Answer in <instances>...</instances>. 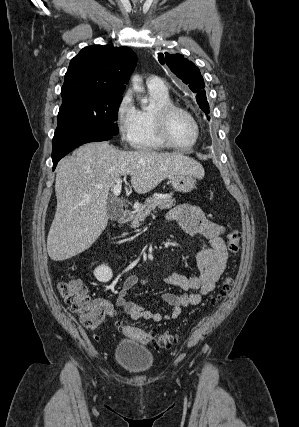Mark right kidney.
<instances>
[{
	"mask_svg": "<svg viewBox=\"0 0 299 427\" xmlns=\"http://www.w3.org/2000/svg\"><path fill=\"white\" fill-rule=\"evenodd\" d=\"M94 276L100 282H108L111 280L113 274L112 270L107 265L103 264L94 270Z\"/></svg>",
	"mask_w": 299,
	"mask_h": 427,
	"instance_id": "obj_1",
	"label": "right kidney"
}]
</instances>
